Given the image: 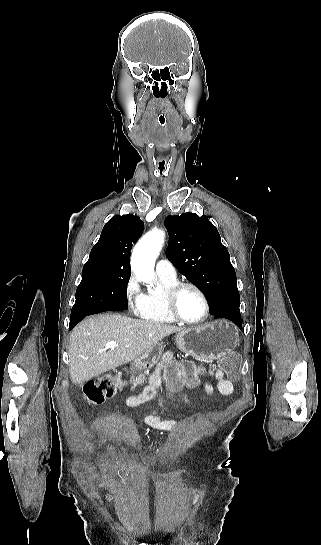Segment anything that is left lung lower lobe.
I'll list each match as a JSON object with an SVG mask.
<instances>
[{
  "label": "left lung lower lobe",
  "mask_w": 321,
  "mask_h": 545,
  "mask_svg": "<svg viewBox=\"0 0 321 545\" xmlns=\"http://www.w3.org/2000/svg\"><path fill=\"white\" fill-rule=\"evenodd\" d=\"M239 306L240 299L230 300L219 307L211 309V315H213L214 318L229 319L242 330Z\"/></svg>",
  "instance_id": "1"
}]
</instances>
